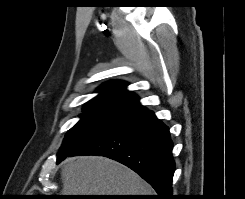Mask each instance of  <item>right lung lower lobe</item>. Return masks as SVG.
Returning <instances> with one entry per match:
<instances>
[{
	"instance_id": "98d812e1",
	"label": "right lung lower lobe",
	"mask_w": 245,
	"mask_h": 199,
	"mask_svg": "<svg viewBox=\"0 0 245 199\" xmlns=\"http://www.w3.org/2000/svg\"><path fill=\"white\" fill-rule=\"evenodd\" d=\"M172 148L168 127L146 109L128 116L109 132L68 156L99 155L114 159L146 180L158 194L155 199H174ZM65 158H57V163Z\"/></svg>"
}]
</instances>
